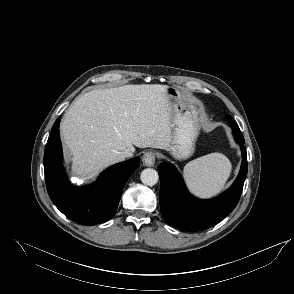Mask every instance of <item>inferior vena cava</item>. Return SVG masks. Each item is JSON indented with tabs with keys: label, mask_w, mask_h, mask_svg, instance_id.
I'll list each match as a JSON object with an SVG mask.
<instances>
[{
	"label": "inferior vena cava",
	"mask_w": 294,
	"mask_h": 294,
	"mask_svg": "<svg viewBox=\"0 0 294 294\" xmlns=\"http://www.w3.org/2000/svg\"><path fill=\"white\" fill-rule=\"evenodd\" d=\"M122 155L124 158H128V157H132L133 156V152L130 149H126L122 152Z\"/></svg>",
	"instance_id": "inferior-vena-cava-1"
}]
</instances>
